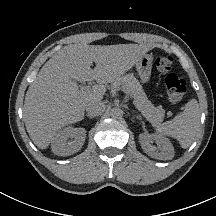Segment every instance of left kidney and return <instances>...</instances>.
Wrapping results in <instances>:
<instances>
[{
	"mask_svg": "<svg viewBox=\"0 0 216 216\" xmlns=\"http://www.w3.org/2000/svg\"><path fill=\"white\" fill-rule=\"evenodd\" d=\"M139 142L143 151L159 160H170L174 156V147L172 143L161 134H148L142 133L139 135ZM156 142L159 146V151H157L155 146H152L151 143Z\"/></svg>",
	"mask_w": 216,
	"mask_h": 216,
	"instance_id": "left-kidney-1",
	"label": "left kidney"
}]
</instances>
